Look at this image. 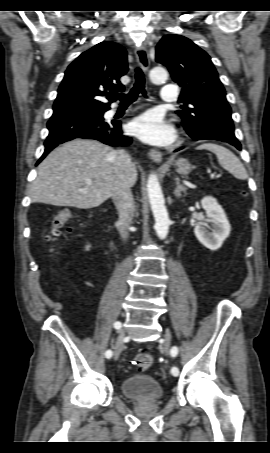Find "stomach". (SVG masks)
Here are the masks:
<instances>
[{
  "label": "stomach",
  "instance_id": "0dacf381",
  "mask_svg": "<svg viewBox=\"0 0 270 453\" xmlns=\"http://www.w3.org/2000/svg\"><path fill=\"white\" fill-rule=\"evenodd\" d=\"M174 166L176 168V171L181 175L189 174L192 170L190 162L185 158H179L175 160Z\"/></svg>",
  "mask_w": 270,
  "mask_h": 453
}]
</instances>
